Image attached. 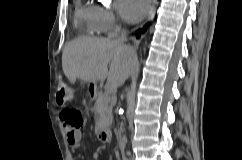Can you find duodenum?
<instances>
[{"label":"duodenum","mask_w":242,"mask_h":160,"mask_svg":"<svg viewBox=\"0 0 242 160\" xmlns=\"http://www.w3.org/2000/svg\"><path fill=\"white\" fill-rule=\"evenodd\" d=\"M111 137V132L109 129H102L99 132V139L103 142H108Z\"/></svg>","instance_id":"duodenum-1"}]
</instances>
